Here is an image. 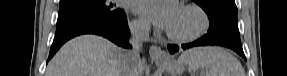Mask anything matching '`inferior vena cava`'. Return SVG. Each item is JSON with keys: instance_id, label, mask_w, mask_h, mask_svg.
I'll return each mask as SVG.
<instances>
[{"instance_id": "obj_1", "label": "inferior vena cava", "mask_w": 287, "mask_h": 76, "mask_svg": "<svg viewBox=\"0 0 287 76\" xmlns=\"http://www.w3.org/2000/svg\"><path fill=\"white\" fill-rule=\"evenodd\" d=\"M131 49L125 50V60L121 69V76H139L142 66L139 49L144 41L149 38L150 25L147 23L133 22L129 25Z\"/></svg>"}]
</instances>
